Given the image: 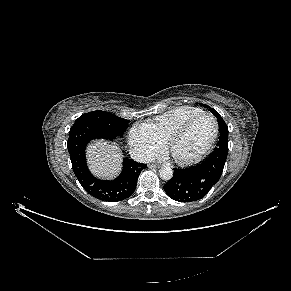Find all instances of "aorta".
<instances>
[{
	"mask_svg": "<svg viewBox=\"0 0 291 291\" xmlns=\"http://www.w3.org/2000/svg\"><path fill=\"white\" fill-rule=\"evenodd\" d=\"M160 178L168 181L173 177V170L169 166H162L159 170Z\"/></svg>",
	"mask_w": 291,
	"mask_h": 291,
	"instance_id": "aorta-1",
	"label": "aorta"
}]
</instances>
